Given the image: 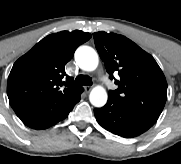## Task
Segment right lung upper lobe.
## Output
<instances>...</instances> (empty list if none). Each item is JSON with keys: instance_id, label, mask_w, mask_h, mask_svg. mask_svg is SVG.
Returning a JSON list of instances; mask_svg holds the SVG:
<instances>
[{"instance_id": "right-lung-upper-lobe-1", "label": "right lung upper lobe", "mask_w": 181, "mask_h": 164, "mask_svg": "<svg viewBox=\"0 0 181 164\" xmlns=\"http://www.w3.org/2000/svg\"><path fill=\"white\" fill-rule=\"evenodd\" d=\"M91 38L75 30L53 33L38 42L13 65L7 82V95L16 115L21 118L53 117L83 92L66 76L65 65L76 48Z\"/></svg>"}]
</instances>
